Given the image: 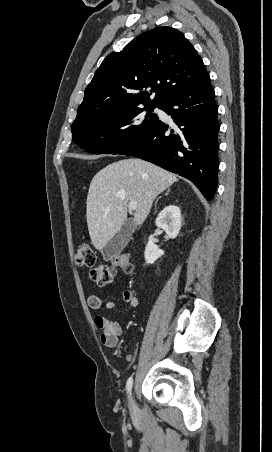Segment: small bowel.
I'll return each instance as SVG.
<instances>
[{"label": "small bowel", "mask_w": 272, "mask_h": 452, "mask_svg": "<svg viewBox=\"0 0 272 452\" xmlns=\"http://www.w3.org/2000/svg\"><path fill=\"white\" fill-rule=\"evenodd\" d=\"M122 300L128 305L129 309H134L138 306V298L131 290H125L122 293ZM102 298L98 294H92L88 298V306L92 310H98L102 307ZM108 310H113L117 307L114 301H107L104 304ZM95 326L102 331L101 341L105 346L111 347L117 344L118 338L122 332V327L118 321L111 320L102 315L94 317Z\"/></svg>", "instance_id": "small-bowel-1"}]
</instances>
